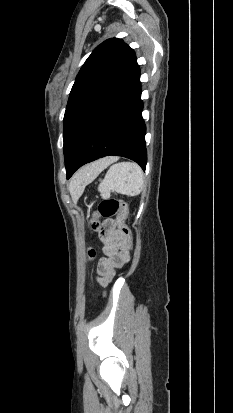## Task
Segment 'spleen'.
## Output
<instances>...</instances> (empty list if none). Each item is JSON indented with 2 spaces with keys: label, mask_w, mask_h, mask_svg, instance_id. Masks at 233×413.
I'll return each mask as SVG.
<instances>
[{
  "label": "spleen",
  "mask_w": 233,
  "mask_h": 413,
  "mask_svg": "<svg viewBox=\"0 0 233 413\" xmlns=\"http://www.w3.org/2000/svg\"><path fill=\"white\" fill-rule=\"evenodd\" d=\"M143 185V171L138 164L119 162L109 168L98 191L104 199L109 198L111 191L133 197L141 193Z\"/></svg>",
  "instance_id": "3e777b00"
}]
</instances>
